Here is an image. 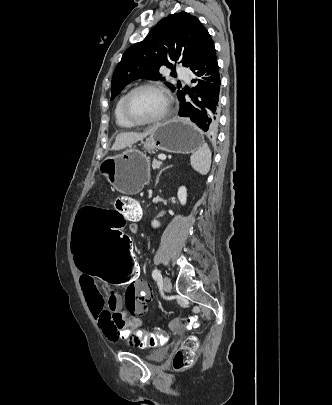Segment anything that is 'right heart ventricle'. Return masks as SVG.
<instances>
[{
    "label": "right heart ventricle",
    "instance_id": "1",
    "mask_svg": "<svg viewBox=\"0 0 332 405\" xmlns=\"http://www.w3.org/2000/svg\"><path fill=\"white\" fill-rule=\"evenodd\" d=\"M123 97H124V94L121 95V96L118 98V100L116 101V104H115V107H114V117H115V121H116V124H117L118 126H120V127H123V128H131V127H133L134 125L131 124L130 122H128L127 120H125L124 117H123L122 114H121V102H122Z\"/></svg>",
    "mask_w": 332,
    "mask_h": 405
}]
</instances>
